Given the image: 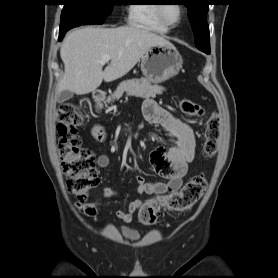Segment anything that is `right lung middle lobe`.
Instances as JSON below:
<instances>
[{"instance_id": "dd1d6c3e", "label": "right lung middle lobe", "mask_w": 278, "mask_h": 278, "mask_svg": "<svg viewBox=\"0 0 278 278\" xmlns=\"http://www.w3.org/2000/svg\"><path fill=\"white\" fill-rule=\"evenodd\" d=\"M116 0H62L64 5L60 31L83 24H102L112 12Z\"/></svg>"}]
</instances>
